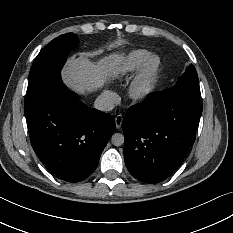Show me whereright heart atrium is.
<instances>
[{
    "label": "right heart atrium",
    "mask_w": 233,
    "mask_h": 233,
    "mask_svg": "<svg viewBox=\"0 0 233 233\" xmlns=\"http://www.w3.org/2000/svg\"><path fill=\"white\" fill-rule=\"evenodd\" d=\"M103 95L110 104H115L118 101L117 94L111 90H105Z\"/></svg>",
    "instance_id": "right-heart-atrium-1"
}]
</instances>
